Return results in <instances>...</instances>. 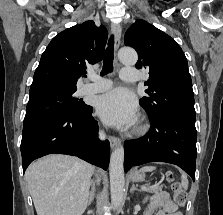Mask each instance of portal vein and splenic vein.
I'll return each instance as SVG.
<instances>
[{
    "label": "portal vein and splenic vein",
    "instance_id": "1",
    "mask_svg": "<svg viewBox=\"0 0 223 215\" xmlns=\"http://www.w3.org/2000/svg\"><path fill=\"white\" fill-rule=\"evenodd\" d=\"M157 185L154 183L153 185H150V183H145V187H142V189H148L151 190L152 187H156ZM141 188V187H140ZM71 199H73V197H71Z\"/></svg>",
    "mask_w": 223,
    "mask_h": 215
}]
</instances>
